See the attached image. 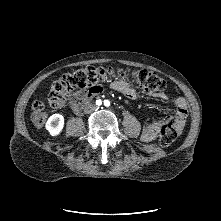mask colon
Segmentation results:
<instances>
[{
	"label": "colon",
	"instance_id": "1",
	"mask_svg": "<svg viewBox=\"0 0 221 221\" xmlns=\"http://www.w3.org/2000/svg\"><path fill=\"white\" fill-rule=\"evenodd\" d=\"M112 79L131 82L145 92H159L166 87L163 78L148 70L91 66L65 74L56 80L51 86L48 103L52 108H62L74 92L79 90L97 91L102 83ZM46 119L44 103L34 102L31 112L33 125L42 127ZM177 134L172 122L165 123L160 131V145L164 148L169 147L177 138Z\"/></svg>",
	"mask_w": 221,
	"mask_h": 221
}]
</instances>
